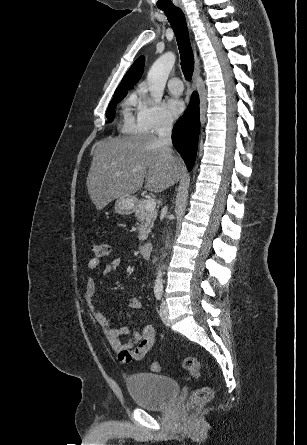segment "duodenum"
<instances>
[{
    "label": "duodenum",
    "instance_id": "410a0bca",
    "mask_svg": "<svg viewBox=\"0 0 307 445\" xmlns=\"http://www.w3.org/2000/svg\"><path fill=\"white\" fill-rule=\"evenodd\" d=\"M152 244L151 243H143L140 248H139V252L142 255V257L144 258H148L151 255L152 252Z\"/></svg>",
    "mask_w": 307,
    "mask_h": 445
}]
</instances>
